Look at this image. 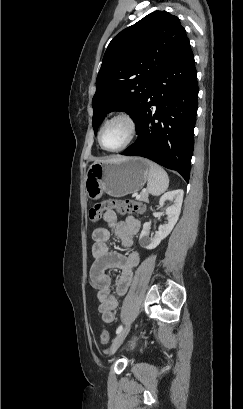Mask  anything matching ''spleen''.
Masks as SVG:
<instances>
[{
	"instance_id": "obj_1",
	"label": "spleen",
	"mask_w": 243,
	"mask_h": 409,
	"mask_svg": "<svg viewBox=\"0 0 243 409\" xmlns=\"http://www.w3.org/2000/svg\"><path fill=\"white\" fill-rule=\"evenodd\" d=\"M146 161V160H145ZM149 165V177L147 188L153 196H159L164 193L169 186V178L166 171L159 165L146 161Z\"/></svg>"
}]
</instances>
